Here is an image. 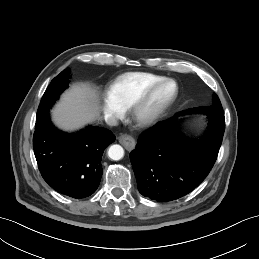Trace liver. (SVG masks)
<instances>
[{
  "mask_svg": "<svg viewBox=\"0 0 259 259\" xmlns=\"http://www.w3.org/2000/svg\"><path fill=\"white\" fill-rule=\"evenodd\" d=\"M99 108L94 89L85 83L74 84L53 109L52 119L59 128L73 131L96 120Z\"/></svg>",
  "mask_w": 259,
  "mask_h": 259,
  "instance_id": "obj_1",
  "label": "liver"
}]
</instances>
